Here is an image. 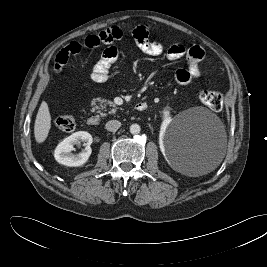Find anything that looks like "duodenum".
<instances>
[{"label": "duodenum", "instance_id": "obj_1", "mask_svg": "<svg viewBox=\"0 0 267 267\" xmlns=\"http://www.w3.org/2000/svg\"><path fill=\"white\" fill-rule=\"evenodd\" d=\"M147 107H148V104L145 101H140L135 105V108L138 111H144V110L147 109ZM99 122H100V120H99V118L97 116H90L87 119V124L90 125V126H96V125L99 124Z\"/></svg>", "mask_w": 267, "mask_h": 267}]
</instances>
